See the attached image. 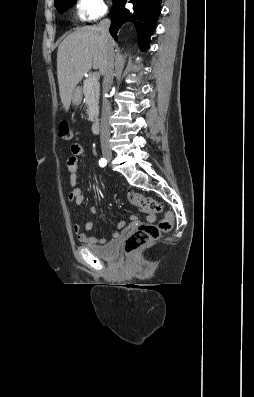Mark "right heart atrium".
I'll list each match as a JSON object with an SVG mask.
<instances>
[{
	"label": "right heart atrium",
	"mask_w": 254,
	"mask_h": 397,
	"mask_svg": "<svg viewBox=\"0 0 254 397\" xmlns=\"http://www.w3.org/2000/svg\"><path fill=\"white\" fill-rule=\"evenodd\" d=\"M107 7L103 0H77L76 16L80 22L95 21L103 17Z\"/></svg>",
	"instance_id": "right-heart-atrium-1"
}]
</instances>
